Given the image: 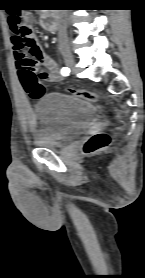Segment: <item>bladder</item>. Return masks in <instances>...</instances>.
<instances>
[{"instance_id": "obj_1", "label": "bladder", "mask_w": 145, "mask_h": 278, "mask_svg": "<svg viewBox=\"0 0 145 278\" xmlns=\"http://www.w3.org/2000/svg\"><path fill=\"white\" fill-rule=\"evenodd\" d=\"M34 116L33 143L51 149L75 140L98 117L91 101L61 92L42 96Z\"/></svg>"}]
</instances>
